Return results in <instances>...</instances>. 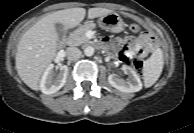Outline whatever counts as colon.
<instances>
[{
    "instance_id": "colon-1",
    "label": "colon",
    "mask_w": 194,
    "mask_h": 133,
    "mask_svg": "<svg viewBox=\"0 0 194 133\" xmlns=\"http://www.w3.org/2000/svg\"><path fill=\"white\" fill-rule=\"evenodd\" d=\"M130 29L133 32H138L140 30V26L135 23H130ZM142 54L140 52H136L133 54L129 59H131L134 69L137 73H142L143 70V60H142Z\"/></svg>"
}]
</instances>
